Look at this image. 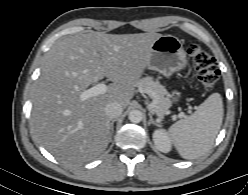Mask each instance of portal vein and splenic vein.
Instances as JSON below:
<instances>
[{
	"mask_svg": "<svg viewBox=\"0 0 248 195\" xmlns=\"http://www.w3.org/2000/svg\"><path fill=\"white\" fill-rule=\"evenodd\" d=\"M108 90V86L104 83H99L96 86H93L83 92L80 93V99L81 100H87L88 98L98 96L100 94L106 93ZM183 116V115H182Z\"/></svg>",
	"mask_w": 248,
	"mask_h": 195,
	"instance_id": "1",
	"label": "portal vein and splenic vein"
}]
</instances>
